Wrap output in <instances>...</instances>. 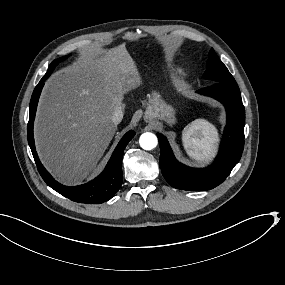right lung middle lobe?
Wrapping results in <instances>:
<instances>
[{
    "mask_svg": "<svg viewBox=\"0 0 285 285\" xmlns=\"http://www.w3.org/2000/svg\"><path fill=\"white\" fill-rule=\"evenodd\" d=\"M67 57H68V56H64V57H61V58H59V59L54 60V61L50 64L47 73L44 75V77H43L42 79H43V80L47 79V78L50 76V74L52 73V71L54 70L55 66H56L59 62L65 60Z\"/></svg>",
    "mask_w": 285,
    "mask_h": 285,
    "instance_id": "right-lung-middle-lobe-1",
    "label": "right lung middle lobe"
}]
</instances>
